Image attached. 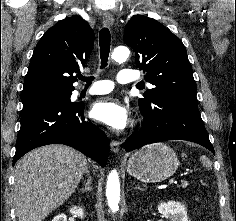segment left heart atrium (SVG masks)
Segmentation results:
<instances>
[{"mask_svg": "<svg viewBox=\"0 0 236 221\" xmlns=\"http://www.w3.org/2000/svg\"><path fill=\"white\" fill-rule=\"evenodd\" d=\"M92 117L113 130H123L130 122L128 108L117 99L106 97L97 101L92 107Z\"/></svg>", "mask_w": 236, "mask_h": 221, "instance_id": "obj_1", "label": "left heart atrium"}]
</instances>
